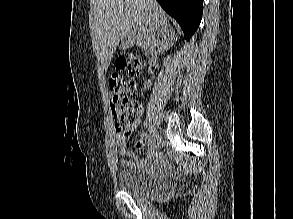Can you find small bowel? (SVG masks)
<instances>
[{"instance_id": "1", "label": "small bowel", "mask_w": 293, "mask_h": 219, "mask_svg": "<svg viewBox=\"0 0 293 219\" xmlns=\"http://www.w3.org/2000/svg\"><path fill=\"white\" fill-rule=\"evenodd\" d=\"M111 111L115 118L114 128L117 135V146H118L119 154L122 157H124L121 160V164L124 167L134 166L138 164L136 160V156H135V150L141 149L145 145L146 136L144 134L141 135L140 139L136 142L134 146V150H131V151L126 150V140L131 134V131L140 126L142 122L143 114H144V108L142 105H138L133 123L130 124L128 127H126L124 130L119 124L118 109L115 105L111 106Z\"/></svg>"}]
</instances>
